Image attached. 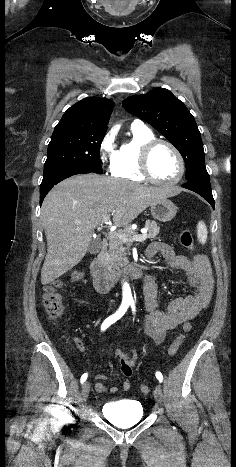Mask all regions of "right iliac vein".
Wrapping results in <instances>:
<instances>
[{"instance_id": "1", "label": "right iliac vein", "mask_w": 236, "mask_h": 467, "mask_svg": "<svg viewBox=\"0 0 236 467\" xmlns=\"http://www.w3.org/2000/svg\"><path fill=\"white\" fill-rule=\"evenodd\" d=\"M90 392V383L88 381L84 382L82 385L81 393H82V399L84 401L87 400Z\"/></svg>"}]
</instances>
